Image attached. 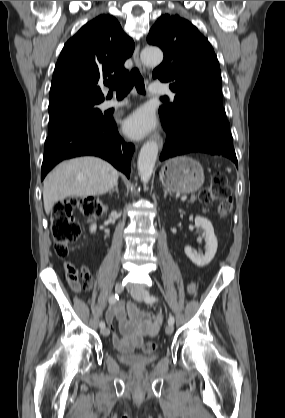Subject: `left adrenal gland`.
Returning <instances> with one entry per match:
<instances>
[{"mask_svg": "<svg viewBox=\"0 0 285 418\" xmlns=\"http://www.w3.org/2000/svg\"><path fill=\"white\" fill-rule=\"evenodd\" d=\"M168 193L170 194V196H171V193L168 191V190H164V198H166L167 197V195H168Z\"/></svg>", "mask_w": 285, "mask_h": 418, "instance_id": "obj_1", "label": "left adrenal gland"}]
</instances>
